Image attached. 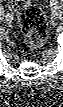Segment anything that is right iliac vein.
<instances>
[{"label": "right iliac vein", "instance_id": "right-iliac-vein-1", "mask_svg": "<svg viewBox=\"0 0 63 107\" xmlns=\"http://www.w3.org/2000/svg\"><path fill=\"white\" fill-rule=\"evenodd\" d=\"M12 20H13V15L8 13V14L6 15V21H7L8 23H11Z\"/></svg>", "mask_w": 63, "mask_h": 107}]
</instances>
